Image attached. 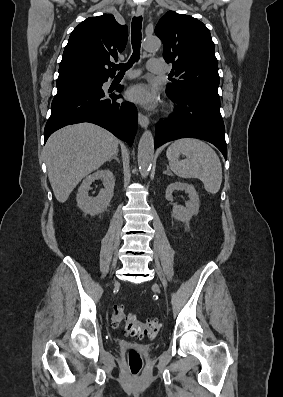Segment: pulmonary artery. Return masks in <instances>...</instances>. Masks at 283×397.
<instances>
[{
	"label": "pulmonary artery",
	"mask_w": 283,
	"mask_h": 397,
	"mask_svg": "<svg viewBox=\"0 0 283 397\" xmlns=\"http://www.w3.org/2000/svg\"><path fill=\"white\" fill-rule=\"evenodd\" d=\"M147 69L155 74H162L165 73L166 69L163 65L162 61L156 58H152L148 61ZM136 73H132L129 75L130 78L135 77Z\"/></svg>",
	"instance_id": "1"
}]
</instances>
